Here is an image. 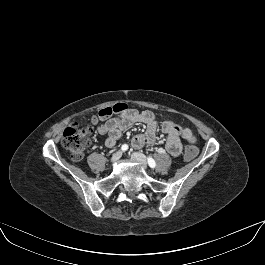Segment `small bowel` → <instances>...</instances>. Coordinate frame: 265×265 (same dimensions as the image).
Instances as JSON below:
<instances>
[{"instance_id":"1","label":"small bowel","mask_w":265,"mask_h":265,"mask_svg":"<svg viewBox=\"0 0 265 265\" xmlns=\"http://www.w3.org/2000/svg\"><path fill=\"white\" fill-rule=\"evenodd\" d=\"M136 123L146 124L147 129L144 133L134 136L132 139V146L134 148L153 145L156 142L159 126L162 132L167 135L166 150L174 157L179 156L182 152L181 139L188 143L196 141V137L191 129L182 127L171 120H164L160 123L152 111H138L132 108L101 124L98 131L100 134L107 136L105 145L112 148L122 133Z\"/></svg>"}]
</instances>
